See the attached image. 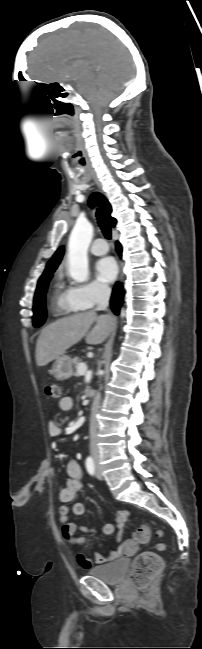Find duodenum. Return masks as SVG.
I'll list each match as a JSON object with an SVG mask.
<instances>
[{"label":"duodenum","mask_w":202,"mask_h":649,"mask_svg":"<svg viewBox=\"0 0 202 649\" xmlns=\"http://www.w3.org/2000/svg\"><path fill=\"white\" fill-rule=\"evenodd\" d=\"M87 395L89 397L95 398V397H97V392L94 389H89V390H87Z\"/></svg>","instance_id":"duodenum-1"}]
</instances>
